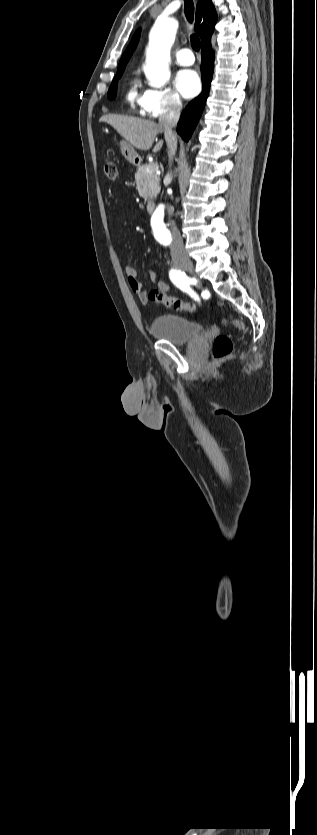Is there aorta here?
Returning <instances> with one entry per match:
<instances>
[{
	"mask_svg": "<svg viewBox=\"0 0 317 835\" xmlns=\"http://www.w3.org/2000/svg\"><path fill=\"white\" fill-rule=\"evenodd\" d=\"M177 28L178 21L175 17H160L157 18L150 31L144 72L151 87L161 88L170 79V51L175 41ZM152 221L157 236L163 237L167 233V230L163 221L162 206L157 208L153 214Z\"/></svg>",
	"mask_w": 317,
	"mask_h": 835,
	"instance_id": "762f6f07",
	"label": "aorta"
}]
</instances>
